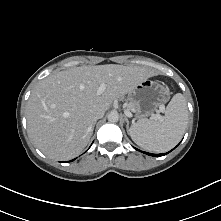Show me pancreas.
I'll list each match as a JSON object with an SVG mask.
<instances>
[{
    "label": "pancreas",
    "instance_id": "pancreas-1",
    "mask_svg": "<svg viewBox=\"0 0 221 221\" xmlns=\"http://www.w3.org/2000/svg\"><path fill=\"white\" fill-rule=\"evenodd\" d=\"M130 109H131V104H129L127 107V110H130Z\"/></svg>",
    "mask_w": 221,
    "mask_h": 221
}]
</instances>
